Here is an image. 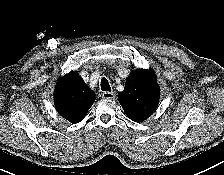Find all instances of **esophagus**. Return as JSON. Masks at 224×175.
Returning a JSON list of instances; mask_svg holds the SVG:
<instances>
[{
    "label": "esophagus",
    "instance_id": "obj_1",
    "mask_svg": "<svg viewBox=\"0 0 224 175\" xmlns=\"http://www.w3.org/2000/svg\"><path fill=\"white\" fill-rule=\"evenodd\" d=\"M115 94L113 92H103L102 98L104 99H114Z\"/></svg>",
    "mask_w": 224,
    "mask_h": 175
}]
</instances>
